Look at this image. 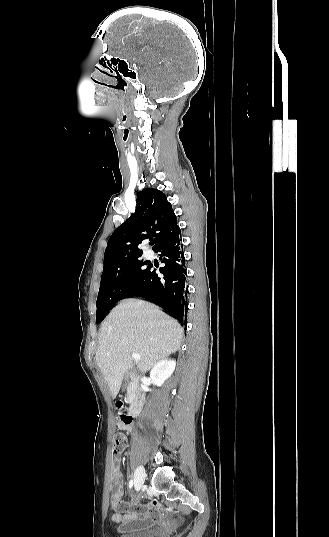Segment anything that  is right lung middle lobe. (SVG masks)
I'll use <instances>...</instances> for the list:
<instances>
[{
    "instance_id": "1",
    "label": "right lung middle lobe",
    "mask_w": 329,
    "mask_h": 537,
    "mask_svg": "<svg viewBox=\"0 0 329 537\" xmlns=\"http://www.w3.org/2000/svg\"><path fill=\"white\" fill-rule=\"evenodd\" d=\"M143 260L135 258L129 262L105 266L97 298L96 322H101L109 309L119 300L128 296L147 271Z\"/></svg>"
}]
</instances>
